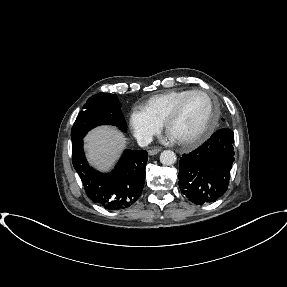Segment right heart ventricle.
Returning a JSON list of instances; mask_svg holds the SVG:
<instances>
[{"label": "right heart ventricle", "mask_w": 287, "mask_h": 287, "mask_svg": "<svg viewBox=\"0 0 287 287\" xmlns=\"http://www.w3.org/2000/svg\"><path fill=\"white\" fill-rule=\"evenodd\" d=\"M191 89H173L150 97L139 105L142 111L152 121L162 125L166 115L183 96Z\"/></svg>", "instance_id": "e07e8e85"}]
</instances>
